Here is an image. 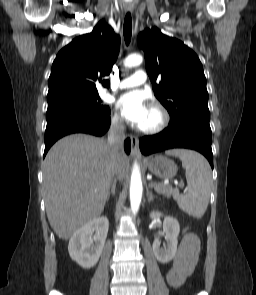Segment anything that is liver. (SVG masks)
<instances>
[{
    "label": "liver",
    "instance_id": "6515ba94",
    "mask_svg": "<svg viewBox=\"0 0 256 295\" xmlns=\"http://www.w3.org/2000/svg\"><path fill=\"white\" fill-rule=\"evenodd\" d=\"M127 165L124 153L114 162L108 142L90 135H69L51 147L43 162V189L47 217L59 238L67 240L102 214L113 175L123 179Z\"/></svg>",
    "mask_w": 256,
    "mask_h": 295
}]
</instances>
